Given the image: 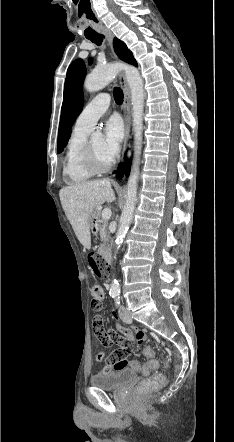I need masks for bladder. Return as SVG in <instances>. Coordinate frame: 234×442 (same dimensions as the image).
I'll use <instances>...</instances> for the list:
<instances>
[{
    "label": "bladder",
    "instance_id": "31cf9c89",
    "mask_svg": "<svg viewBox=\"0 0 234 442\" xmlns=\"http://www.w3.org/2000/svg\"><path fill=\"white\" fill-rule=\"evenodd\" d=\"M136 375V371L130 367L106 369L92 375L90 383L102 390H117L133 381Z\"/></svg>",
    "mask_w": 234,
    "mask_h": 442
}]
</instances>
